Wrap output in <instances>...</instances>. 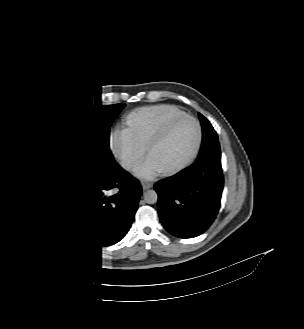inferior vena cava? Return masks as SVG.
Wrapping results in <instances>:
<instances>
[{"mask_svg": "<svg viewBox=\"0 0 304 329\" xmlns=\"http://www.w3.org/2000/svg\"><path fill=\"white\" fill-rule=\"evenodd\" d=\"M122 166H123V168H125L127 170H130L132 168L133 164L131 162H129V161H124L122 163Z\"/></svg>", "mask_w": 304, "mask_h": 329, "instance_id": "inferior-vena-cava-1", "label": "inferior vena cava"}]
</instances>
